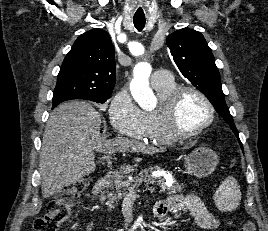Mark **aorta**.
Listing matches in <instances>:
<instances>
[{
    "mask_svg": "<svg viewBox=\"0 0 268 231\" xmlns=\"http://www.w3.org/2000/svg\"><path fill=\"white\" fill-rule=\"evenodd\" d=\"M151 70L152 68L149 63H139L134 68L133 79L130 84L133 98L143 109L150 108L154 104V94L149 86Z\"/></svg>",
    "mask_w": 268,
    "mask_h": 231,
    "instance_id": "762f6f07",
    "label": "aorta"
}]
</instances>
